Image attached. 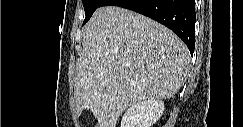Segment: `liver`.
Instances as JSON below:
<instances>
[{
    "label": "liver",
    "instance_id": "6515ba94",
    "mask_svg": "<svg viewBox=\"0 0 243 127\" xmlns=\"http://www.w3.org/2000/svg\"><path fill=\"white\" fill-rule=\"evenodd\" d=\"M75 97L99 127H115L123 111L145 100L173 97L190 53L171 30L136 12L105 6L85 26Z\"/></svg>",
    "mask_w": 243,
    "mask_h": 127
}]
</instances>
